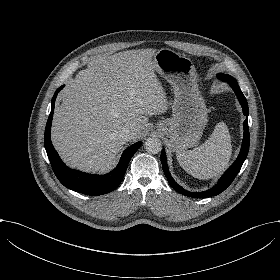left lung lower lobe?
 Returning a JSON list of instances; mask_svg holds the SVG:
<instances>
[{"mask_svg":"<svg viewBox=\"0 0 280 280\" xmlns=\"http://www.w3.org/2000/svg\"><path fill=\"white\" fill-rule=\"evenodd\" d=\"M220 80L226 81L234 90L240 104L242 105L243 108V113L246 116V120L243 123V127H244V138H243V143H242V147H241V151L239 156L237 157L236 161L228 168V170L223 174V176L220 178V180L218 181L217 185H215L212 189L204 191V192H200V193H194V192H188L186 191L184 188H182L181 186H179L171 177L169 170H168V165H167V161H166V156H165V151L162 150L161 152V162H162V168L163 171L165 173V176L169 182V184L179 193L185 195V196H189V197H193V198H206V197H211V196H215L218 195L219 193H221L222 191H224L230 184L231 182L234 180V178L236 177V175L238 174V172L241 169V166L243 164V162L245 161L248 151H249V144H250V136H249V128H248V122H247V117H248V113H249V109H248V103L247 100L245 98V96L243 95L239 85L237 84V81L229 76V75H225L223 76Z\"/></svg>","mask_w":280,"mask_h":280,"instance_id":"1","label":"left lung lower lobe"}]
</instances>
